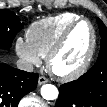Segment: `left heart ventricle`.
Here are the masks:
<instances>
[{"label":"left heart ventricle","mask_w":107,"mask_h":107,"mask_svg":"<svg viewBox=\"0 0 107 107\" xmlns=\"http://www.w3.org/2000/svg\"><path fill=\"white\" fill-rule=\"evenodd\" d=\"M91 43V31L86 23L79 24L71 33L64 49L54 59L53 67L59 73L77 68L85 58Z\"/></svg>","instance_id":"b2bd125f"}]
</instances>
